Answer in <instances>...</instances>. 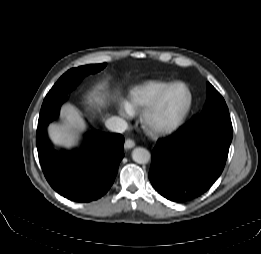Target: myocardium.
Masks as SVG:
<instances>
[{
    "instance_id": "obj_1",
    "label": "myocardium",
    "mask_w": 261,
    "mask_h": 254,
    "mask_svg": "<svg viewBox=\"0 0 261 254\" xmlns=\"http://www.w3.org/2000/svg\"><path fill=\"white\" fill-rule=\"evenodd\" d=\"M181 86L184 87L188 92V103L183 109V111L170 121H161L158 119V113L160 112L161 106L166 95L174 87ZM193 106V93L190 87L184 82H174L169 84L161 95L156 99V101L146 108L141 116V124L143 129L152 136H163L172 133L175 131L186 119L191 108Z\"/></svg>"
}]
</instances>
